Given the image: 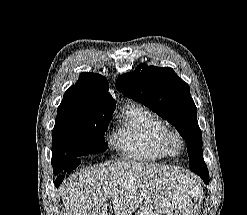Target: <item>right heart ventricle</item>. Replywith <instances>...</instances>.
<instances>
[{
    "label": "right heart ventricle",
    "mask_w": 247,
    "mask_h": 215,
    "mask_svg": "<svg viewBox=\"0 0 247 215\" xmlns=\"http://www.w3.org/2000/svg\"><path fill=\"white\" fill-rule=\"evenodd\" d=\"M164 121L146 108L126 106L120 124L112 135L113 145L132 161L153 162L170 156L163 148Z\"/></svg>",
    "instance_id": "e07e8e85"
}]
</instances>
